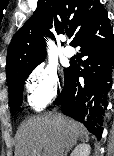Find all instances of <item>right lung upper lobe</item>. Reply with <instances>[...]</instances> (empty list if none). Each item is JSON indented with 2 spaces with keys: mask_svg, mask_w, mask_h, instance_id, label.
Returning <instances> with one entry per match:
<instances>
[{
  "mask_svg": "<svg viewBox=\"0 0 114 156\" xmlns=\"http://www.w3.org/2000/svg\"><path fill=\"white\" fill-rule=\"evenodd\" d=\"M103 9L99 0H38L32 17L15 33L8 48L7 83L21 73L34 69L45 56V35L69 30L74 37Z\"/></svg>",
  "mask_w": 114,
  "mask_h": 156,
  "instance_id": "right-lung-upper-lobe-1",
  "label": "right lung upper lobe"
}]
</instances>
